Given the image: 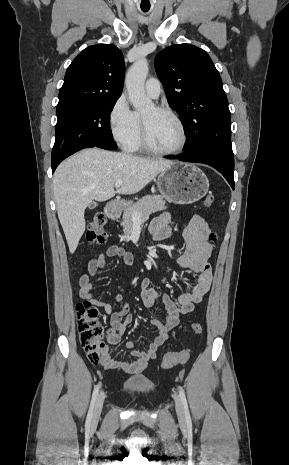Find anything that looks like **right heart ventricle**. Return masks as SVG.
<instances>
[{
    "mask_svg": "<svg viewBox=\"0 0 289 465\" xmlns=\"http://www.w3.org/2000/svg\"><path fill=\"white\" fill-rule=\"evenodd\" d=\"M137 114V113H136ZM140 122V127L138 132L133 136V138L124 146L125 149L129 152H141L143 151V146L141 142V120L139 114H137Z\"/></svg>",
    "mask_w": 289,
    "mask_h": 465,
    "instance_id": "obj_1",
    "label": "right heart ventricle"
}]
</instances>
